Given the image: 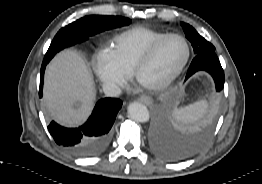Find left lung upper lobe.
I'll list each match as a JSON object with an SVG mask.
<instances>
[{"instance_id": "5c2ea615", "label": "left lung upper lobe", "mask_w": 262, "mask_h": 184, "mask_svg": "<svg viewBox=\"0 0 262 184\" xmlns=\"http://www.w3.org/2000/svg\"><path fill=\"white\" fill-rule=\"evenodd\" d=\"M181 26L185 32L186 38L191 42L196 55L202 52L215 50V47L200 36L191 25L182 22Z\"/></svg>"}]
</instances>
